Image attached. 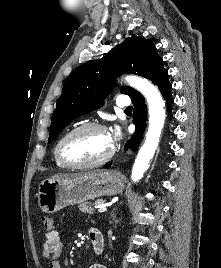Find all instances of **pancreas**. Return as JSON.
I'll list each match as a JSON object with an SVG mask.
<instances>
[{
  "label": "pancreas",
  "instance_id": "pancreas-1",
  "mask_svg": "<svg viewBox=\"0 0 221 268\" xmlns=\"http://www.w3.org/2000/svg\"><path fill=\"white\" fill-rule=\"evenodd\" d=\"M104 200H97L93 205L103 204ZM91 203H82L79 205V209L82 212H87L88 214H92L94 212V207Z\"/></svg>",
  "mask_w": 221,
  "mask_h": 268
}]
</instances>
